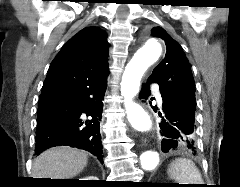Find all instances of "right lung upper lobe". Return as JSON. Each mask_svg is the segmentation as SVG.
Returning a JSON list of instances; mask_svg holds the SVG:
<instances>
[{
    "instance_id": "cb5924a9",
    "label": "right lung upper lobe",
    "mask_w": 240,
    "mask_h": 187,
    "mask_svg": "<svg viewBox=\"0 0 240 187\" xmlns=\"http://www.w3.org/2000/svg\"><path fill=\"white\" fill-rule=\"evenodd\" d=\"M108 42L97 27L80 30L65 43L50 64L40 98L77 89L88 82L106 78Z\"/></svg>"
}]
</instances>
